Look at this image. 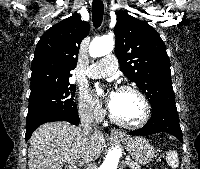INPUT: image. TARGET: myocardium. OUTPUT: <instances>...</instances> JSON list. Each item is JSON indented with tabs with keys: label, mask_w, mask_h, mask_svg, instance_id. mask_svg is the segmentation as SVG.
Segmentation results:
<instances>
[{
	"label": "myocardium",
	"mask_w": 200,
	"mask_h": 169,
	"mask_svg": "<svg viewBox=\"0 0 200 169\" xmlns=\"http://www.w3.org/2000/svg\"><path fill=\"white\" fill-rule=\"evenodd\" d=\"M118 90L119 91H131V92H134L136 95H138V97L141 99L143 106H144V115H143L142 119L137 123H127V122L121 121L118 118H116L115 115L110 110L109 111L110 120L113 123H115L116 125L126 128V129L136 130V129H140V128L144 127L148 123V121L150 120V117H151V105H150V102H149L147 96L144 94V92L141 89H139L138 87H136L134 85H122L119 87Z\"/></svg>",
	"instance_id": "1"
}]
</instances>
